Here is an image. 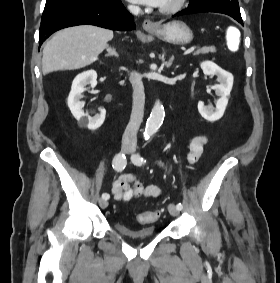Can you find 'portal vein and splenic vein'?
Returning <instances> with one entry per match:
<instances>
[{"instance_id": "portal-vein-and-splenic-vein-1", "label": "portal vein and splenic vein", "mask_w": 280, "mask_h": 283, "mask_svg": "<svg viewBox=\"0 0 280 283\" xmlns=\"http://www.w3.org/2000/svg\"><path fill=\"white\" fill-rule=\"evenodd\" d=\"M195 49H196V47H191V48L187 49V50L184 52V55H187V54L192 53Z\"/></svg>"}]
</instances>
